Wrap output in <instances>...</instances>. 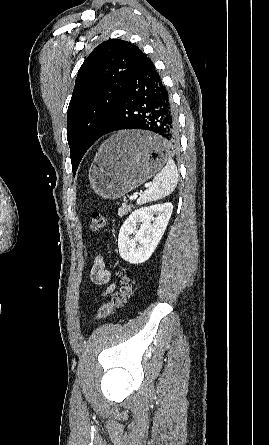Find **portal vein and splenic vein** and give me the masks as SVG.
Instances as JSON below:
<instances>
[{"label": "portal vein and splenic vein", "instance_id": "portal-vein-and-splenic-vein-1", "mask_svg": "<svg viewBox=\"0 0 269 445\" xmlns=\"http://www.w3.org/2000/svg\"><path fill=\"white\" fill-rule=\"evenodd\" d=\"M148 186H149V184H146V185H145V187H148ZM137 197H138V195L135 194V195L130 196V199H136Z\"/></svg>", "mask_w": 269, "mask_h": 445}]
</instances>
